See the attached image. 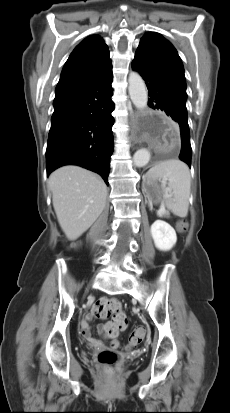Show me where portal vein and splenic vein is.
<instances>
[{"label":"portal vein and splenic vein","instance_id":"portal-vein-and-splenic-vein-1","mask_svg":"<svg viewBox=\"0 0 230 413\" xmlns=\"http://www.w3.org/2000/svg\"><path fill=\"white\" fill-rule=\"evenodd\" d=\"M165 212H166V211L164 210V211L161 212V214H164Z\"/></svg>","mask_w":230,"mask_h":413}]
</instances>
